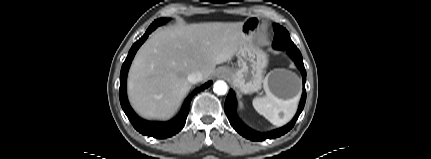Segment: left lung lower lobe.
<instances>
[{
  "label": "left lung lower lobe",
  "instance_id": "obj_1",
  "mask_svg": "<svg viewBox=\"0 0 431 159\" xmlns=\"http://www.w3.org/2000/svg\"><path fill=\"white\" fill-rule=\"evenodd\" d=\"M281 50V49H280ZM287 51V50H286ZM288 54L291 56L293 61L295 62L296 66L300 69L302 73L303 78V93L302 98L300 101L299 109L293 118V120L285 125L284 127H281L279 129L273 130L271 132L267 133H258L250 128H248L237 116L236 114V99L233 90L229 91V94L225 101V113L229 119L230 124L232 127L243 137L251 140V141H263L266 139H273L280 137L290 131L292 127L294 126L296 120L298 119L300 113L302 112L305 101H306V91H305V82H306V70L304 68L302 55L299 50H289L287 51Z\"/></svg>",
  "mask_w": 431,
  "mask_h": 159
}]
</instances>
